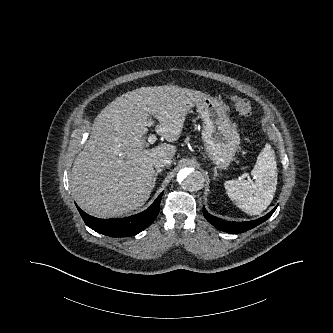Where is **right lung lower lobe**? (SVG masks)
I'll return each mask as SVG.
<instances>
[{
	"instance_id": "right-lung-lower-lobe-1",
	"label": "right lung lower lobe",
	"mask_w": 333,
	"mask_h": 333,
	"mask_svg": "<svg viewBox=\"0 0 333 333\" xmlns=\"http://www.w3.org/2000/svg\"><path fill=\"white\" fill-rule=\"evenodd\" d=\"M162 195L163 193L145 211L127 218L99 219L86 214L78 206L77 208L85 224L94 231L111 237H129L138 234L155 220L159 213Z\"/></svg>"
}]
</instances>
